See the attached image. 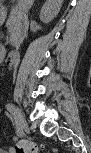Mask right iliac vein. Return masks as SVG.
<instances>
[{
	"mask_svg": "<svg viewBox=\"0 0 91 153\" xmlns=\"http://www.w3.org/2000/svg\"><path fill=\"white\" fill-rule=\"evenodd\" d=\"M13 114L15 117L17 128L19 129L21 134L28 133L29 129H28L27 122H26L24 116L22 115L20 109L14 105H13Z\"/></svg>",
	"mask_w": 91,
	"mask_h": 153,
	"instance_id": "63e3f726",
	"label": "right iliac vein"
}]
</instances>
